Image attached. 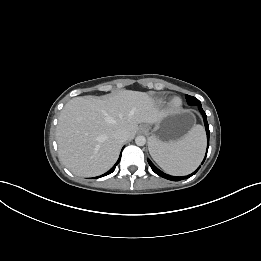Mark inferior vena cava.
<instances>
[{
    "label": "inferior vena cava",
    "mask_w": 261,
    "mask_h": 261,
    "mask_svg": "<svg viewBox=\"0 0 261 261\" xmlns=\"http://www.w3.org/2000/svg\"><path fill=\"white\" fill-rule=\"evenodd\" d=\"M114 137L119 141H125L126 132L124 130H117L114 134Z\"/></svg>",
    "instance_id": "obj_1"
}]
</instances>
